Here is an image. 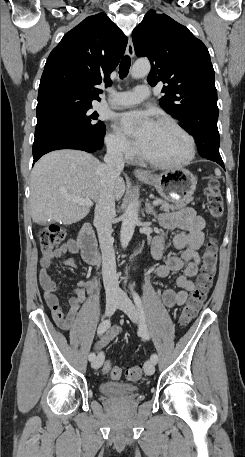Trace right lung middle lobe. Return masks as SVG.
<instances>
[{
    "label": "right lung middle lobe",
    "instance_id": "right-lung-middle-lobe-1",
    "mask_svg": "<svg viewBox=\"0 0 245 457\" xmlns=\"http://www.w3.org/2000/svg\"><path fill=\"white\" fill-rule=\"evenodd\" d=\"M88 101H65L50 110L37 112L35 136L49 131L65 130L79 133L95 146H103L105 126L97 121L98 113Z\"/></svg>",
    "mask_w": 245,
    "mask_h": 457
}]
</instances>
